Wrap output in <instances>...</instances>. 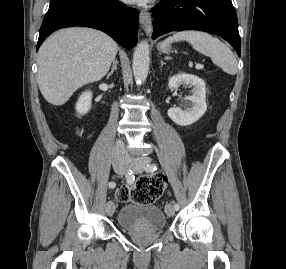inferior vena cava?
<instances>
[{
  "mask_svg": "<svg viewBox=\"0 0 286 269\" xmlns=\"http://www.w3.org/2000/svg\"><path fill=\"white\" fill-rule=\"evenodd\" d=\"M114 160H126L128 158V153L125 148V144L122 140H117L113 151Z\"/></svg>",
  "mask_w": 286,
  "mask_h": 269,
  "instance_id": "1",
  "label": "inferior vena cava"
}]
</instances>
